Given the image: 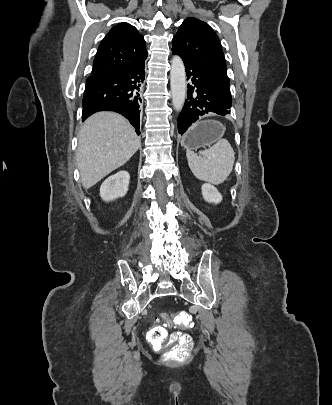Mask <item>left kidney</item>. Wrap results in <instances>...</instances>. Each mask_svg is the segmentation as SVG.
<instances>
[{
  "mask_svg": "<svg viewBox=\"0 0 332 405\" xmlns=\"http://www.w3.org/2000/svg\"><path fill=\"white\" fill-rule=\"evenodd\" d=\"M201 189L205 201L215 204L221 202L222 195L220 194V192H218V190L214 186L210 184H203Z\"/></svg>",
  "mask_w": 332,
  "mask_h": 405,
  "instance_id": "left-kidney-1",
  "label": "left kidney"
}]
</instances>
